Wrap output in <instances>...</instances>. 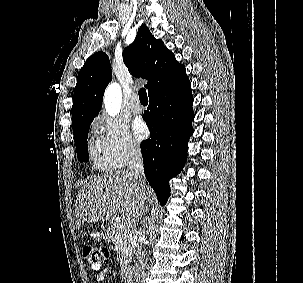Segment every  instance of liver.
I'll return each mask as SVG.
<instances>
[{
  "instance_id": "6515ba94",
  "label": "liver",
  "mask_w": 303,
  "mask_h": 283,
  "mask_svg": "<svg viewBox=\"0 0 303 283\" xmlns=\"http://www.w3.org/2000/svg\"><path fill=\"white\" fill-rule=\"evenodd\" d=\"M144 196L146 199L152 196L145 179H136L125 170L90 178L77 195L76 226L79 228L85 222L113 221L119 212L125 223H135L142 215Z\"/></svg>"
}]
</instances>
